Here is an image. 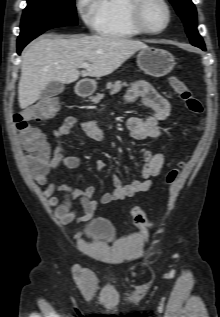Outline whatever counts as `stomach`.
Returning <instances> with one entry per match:
<instances>
[{
  "label": "stomach",
  "mask_w": 220,
  "mask_h": 317,
  "mask_svg": "<svg viewBox=\"0 0 220 317\" xmlns=\"http://www.w3.org/2000/svg\"><path fill=\"white\" fill-rule=\"evenodd\" d=\"M137 64L146 74L161 77L171 72L175 66L173 55L163 49L147 47L141 49L137 55ZM88 92L93 93L96 90V82H87Z\"/></svg>",
  "instance_id": "obj_1"
}]
</instances>
